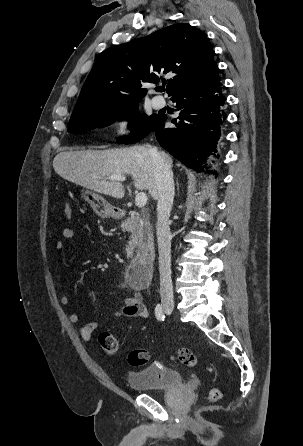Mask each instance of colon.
<instances>
[{"label":"colon","mask_w":303,"mask_h":446,"mask_svg":"<svg viewBox=\"0 0 303 446\" xmlns=\"http://www.w3.org/2000/svg\"><path fill=\"white\" fill-rule=\"evenodd\" d=\"M64 212L68 219L72 216V209L69 204L64 205ZM98 341L103 348V350L109 354L113 355L118 350V341L115 336L108 332H103L99 335ZM150 358V352L146 349L133 350L128 355V362L133 366H142L148 363ZM174 361L181 363L187 367H195L198 363V359L194 353L187 349L179 350L175 356L172 358ZM208 371L212 372L213 369L208 367ZM221 391L217 388L211 390L209 394L210 401H218L221 398Z\"/></svg>","instance_id":"obj_1"}]
</instances>
